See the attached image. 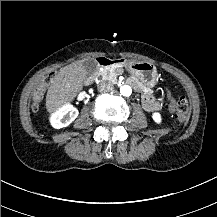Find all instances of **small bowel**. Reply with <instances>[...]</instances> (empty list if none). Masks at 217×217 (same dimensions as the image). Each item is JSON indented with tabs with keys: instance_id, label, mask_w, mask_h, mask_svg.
Masks as SVG:
<instances>
[{
	"instance_id": "small-bowel-1",
	"label": "small bowel",
	"mask_w": 217,
	"mask_h": 217,
	"mask_svg": "<svg viewBox=\"0 0 217 217\" xmlns=\"http://www.w3.org/2000/svg\"><path fill=\"white\" fill-rule=\"evenodd\" d=\"M142 105L148 112H155L161 109L160 104L149 93L143 98Z\"/></svg>"
}]
</instances>
